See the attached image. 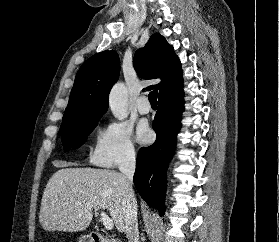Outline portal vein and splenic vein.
<instances>
[{"label": "portal vein and splenic vein", "instance_id": "1", "mask_svg": "<svg viewBox=\"0 0 279 242\" xmlns=\"http://www.w3.org/2000/svg\"><path fill=\"white\" fill-rule=\"evenodd\" d=\"M101 220L103 222V225L104 227L107 229V230H111L113 229V220L104 212H101Z\"/></svg>", "mask_w": 279, "mask_h": 242}]
</instances>
